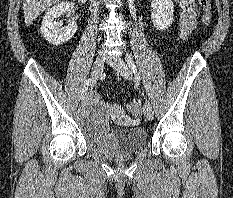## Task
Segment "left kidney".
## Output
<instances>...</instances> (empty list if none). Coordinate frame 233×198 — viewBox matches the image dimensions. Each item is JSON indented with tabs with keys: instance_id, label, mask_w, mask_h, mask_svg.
<instances>
[{
	"instance_id": "1",
	"label": "left kidney",
	"mask_w": 233,
	"mask_h": 198,
	"mask_svg": "<svg viewBox=\"0 0 233 198\" xmlns=\"http://www.w3.org/2000/svg\"><path fill=\"white\" fill-rule=\"evenodd\" d=\"M151 20L157 30H165L171 26L174 17V3L172 0H152Z\"/></svg>"
}]
</instances>
